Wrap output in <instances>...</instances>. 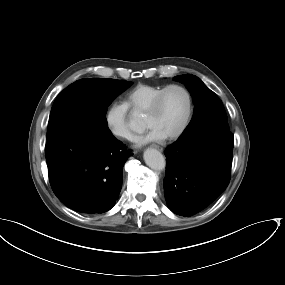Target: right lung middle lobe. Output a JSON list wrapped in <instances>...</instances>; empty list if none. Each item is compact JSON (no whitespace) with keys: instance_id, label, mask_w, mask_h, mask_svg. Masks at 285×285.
<instances>
[{"instance_id":"dd1d6c3e","label":"right lung middle lobe","mask_w":285,"mask_h":285,"mask_svg":"<svg viewBox=\"0 0 285 285\" xmlns=\"http://www.w3.org/2000/svg\"><path fill=\"white\" fill-rule=\"evenodd\" d=\"M132 82L92 78L78 80L65 88L56 98L49 117L47 142L70 124L90 119L108 127L107 107Z\"/></svg>"}]
</instances>
